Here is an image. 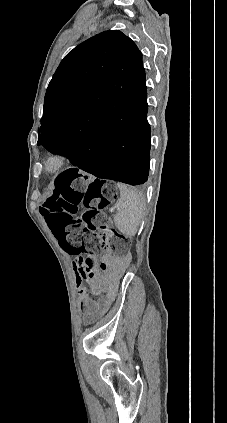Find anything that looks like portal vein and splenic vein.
<instances>
[{"mask_svg": "<svg viewBox=\"0 0 227 423\" xmlns=\"http://www.w3.org/2000/svg\"><path fill=\"white\" fill-rule=\"evenodd\" d=\"M111 212L112 213H115L116 212L115 206H111Z\"/></svg>", "mask_w": 227, "mask_h": 423, "instance_id": "obj_1", "label": "portal vein and splenic vein"}]
</instances>
